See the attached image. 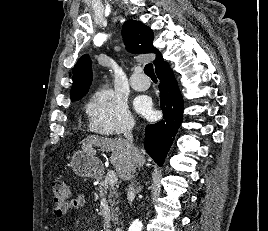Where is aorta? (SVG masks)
<instances>
[{
    "label": "aorta",
    "mask_w": 268,
    "mask_h": 231,
    "mask_svg": "<svg viewBox=\"0 0 268 231\" xmlns=\"http://www.w3.org/2000/svg\"><path fill=\"white\" fill-rule=\"evenodd\" d=\"M142 227H143L142 222L139 219H135L132 222V224H131V226L129 228V231H141Z\"/></svg>",
    "instance_id": "obj_1"
}]
</instances>
